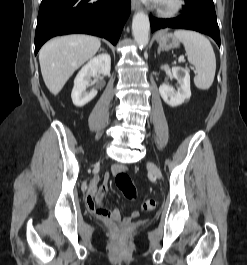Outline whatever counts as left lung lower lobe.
Segmentation results:
<instances>
[{"label": "left lung lower lobe", "instance_id": "1", "mask_svg": "<svg viewBox=\"0 0 247 265\" xmlns=\"http://www.w3.org/2000/svg\"><path fill=\"white\" fill-rule=\"evenodd\" d=\"M183 13L172 19H159L150 15L151 31L160 28H184L211 36L220 47V32L212 0H185Z\"/></svg>", "mask_w": 247, "mask_h": 265}]
</instances>
